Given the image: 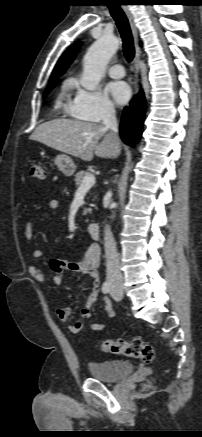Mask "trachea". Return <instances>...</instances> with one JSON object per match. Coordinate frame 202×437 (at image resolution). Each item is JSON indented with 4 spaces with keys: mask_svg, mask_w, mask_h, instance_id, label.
<instances>
[{
    "mask_svg": "<svg viewBox=\"0 0 202 437\" xmlns=\"http://www.w3.org/2000/svg\"><path fill=\"white\" fill-rule=\"evenodd\" d=\"M108 8L119 29L124 56L128 62H131L135 56V49L128 18L119 5H108Z\"/></svg>",
    "mask_w": 202,
    "mask_h": 437,
    "instance_id": "1",
    "label": "trachea"
}]
</instances>
